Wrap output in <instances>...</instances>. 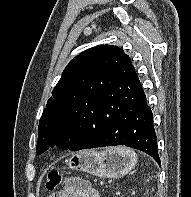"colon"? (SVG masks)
Segmentation results:
<instances>
[{
    "instance_id": "1",
    "label": "colon",
    "mask_w": 191,
    "mask_h": 197,
    "mask_svg": "<svg viewBox=\"0 0 191 197\" xmlns=\"http://www.w3.org/2000/svg\"><path fill=\"white\" fill-rule=\"evenodd\" d=\"M62 180V175L59 171L53 170L48 174L46 183H45V188L48 191H54L57 186L61 183Z\"/></svg>"
}]
</instances>
